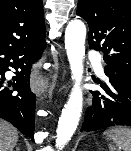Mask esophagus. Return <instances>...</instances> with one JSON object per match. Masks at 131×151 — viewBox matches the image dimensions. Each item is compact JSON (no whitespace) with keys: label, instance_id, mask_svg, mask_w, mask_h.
Masks as SVG:
<instances>
[{"label":"esophagus","instance_id":"obj_1","mask_svg":"<svg viewBox=\"0 0 131 151\" xmlns=\"http://www.w3.org/2000/svg\"><path fill=\"white\" fill-rule=\"evenodd\" d=\"M49 88V84L47 82H41L38 86V94L41 95L42 93L46 92Z\"/></svg>","mask_w":131,"mask_h":151}]
</instances>
